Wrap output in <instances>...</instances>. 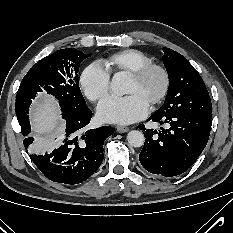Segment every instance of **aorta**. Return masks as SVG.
Masks as SVG:
<instances>
[{
	"mask_svg": "<svg viewBox=\"0 0 233 233\" xmlns=\"http://www.w3.org/2000/svg\"><path fill=\"white\" fill-rule=\"evenodd\" d=\"M127 80L123 73L114 74L111 80V90L114 94L121 96L126 93ZM145 137L142 132L132 130L127 134V141L132 147H141L144 144Z\"/></svg>",
	"mask_w": 233,
	"mask_h": 233,
	"instance_id": "762f6f07",
	"label": "aorta"
}]
</instances>
